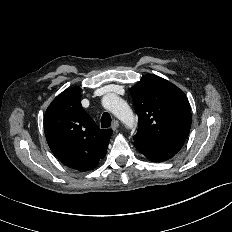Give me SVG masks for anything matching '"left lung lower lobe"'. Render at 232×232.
<instances>
[{
    "instance_id": "obj_1",
    "label": "left lung lower lobe",
    "mask_w": 232,
    "mask_h": 232,
    "mask_svg": "<svg viewBox=\"0 0 232 232\" xmlns=\"http://www.w3.org/2000/svg\"><path fill=\"white\" fill-rule=\"evenodd\" d=\"M135 147L144 154L150 161L162 162L172 158L180 151L182 142H168L161 144H143L134 142Z\"/></svg>"
}]
</instances>
